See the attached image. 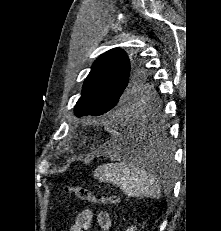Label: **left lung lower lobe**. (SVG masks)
Returning a JSON list of instances; mask_svg holds the SVG:
<instances>
[{"mask_svg": "<svg viewBox=\"0 0 221 231\" xmlns=\"http://www.w3.org/2000/svg\"><path fill=\"white\" fill-rule=\"evenodd\" d=\"M115 126L121 133V149L130 154L136 153L144 164L153 165L156 159L168 154L169 143L166 134L161 131L158 117L147 116L135 121L126 116Z\"/></svg>", "mask_w": 221, "mask_h": 231, "instance_id": "0a47b994", "label": "left lung lower lobe"}]
</instances>
